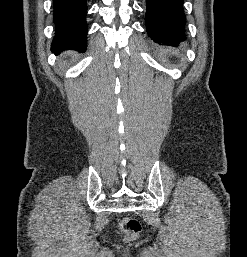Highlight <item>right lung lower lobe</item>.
<instances>
[{"instance_id":"right-lung-lower-lobe-1","label":"right lung lower lobe","mask_w":247,"mask_h":257,"mask_svg":"<svg viewBox=\"0 0 247 257\" xmlns=\"http://www.w3.org/2000/svg\"><path fill=\"white\" fill-rule=\"evenodd\" d=\"M55 38L51 50L60 53L72 49H86V0H53Z\"/></svg>"}]
</instances>
